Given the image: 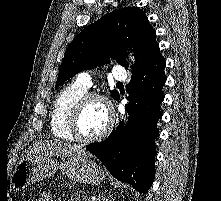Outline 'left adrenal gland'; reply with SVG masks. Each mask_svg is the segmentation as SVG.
Returning <instances> with one entry per match:
<instances>
[{
    "instance_id": "left-adrenal-gland-1",
    "label": "left adrenal gland",
    "mask_w": 221,
    "mask_h": 201,
    "mask_svg": "<svg viewBox=\"0 0 221 201\" xmlns=\"http://www.w3.org/2000/svg\"><path fill=\"white\" fill-rule=\"evenodd\" d=\"M109 197L108 198H105L103 197V194H99L96 201H108Z\"/></svg>"
}]
</instances>
